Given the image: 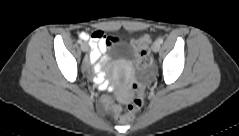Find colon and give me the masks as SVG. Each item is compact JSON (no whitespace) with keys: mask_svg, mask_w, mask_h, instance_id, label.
Here are the masks:
<instances>
[{"mask_svg":"<svg viewBox=\"0 0 239 136\" xmlns=\"http://www.w3.org/2000/svg\"><path fill=\"white\" fill-rule=\"evenodd\" d=\"M107 43L112 42V38H106ZM148 39L146 37L135 41L134 48L136 55L139 57L141 63H146L148 51H147ZM131 88L135 91L134 95L131 97L129 104L125 109L120 106L114 107L115 117L120 122H128L133 119L134 114L140 110L143 104V97L138 91V84L133 82Z\"/></svg>","mask_w":239,"mask_h":136,"instance_id":"colon-1","label":"colon"}]
</instances>
